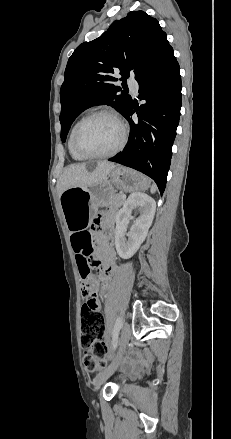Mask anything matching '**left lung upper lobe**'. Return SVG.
Wrapping results in <instances>:
<instances>
[{"mask_svg": "<svg viewBox=\"0 0 231 439\" xmlns=\"http://www.w3.org/2000/svg\"><path fill=\"white\" fill-rule=\"evenodd\" d=\"M170 45L158 21L143 11H132L114 21L99 38L80 44L69 58L60 89L61 139L65 142L73 121L95 105H110L122 115L132 98L124 86L131 73L138 81Z\"/></svg>", "mask_w": 231, "mask_h": 439, "instance_id": "obj_1", "label": "left lung upper lobe"}]
</instances>
